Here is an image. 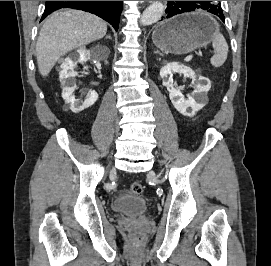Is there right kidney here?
Wrapping results in <instances>:
<instances>
[{"label": "right kidney", "instance_id": "right-kidney-1", "mask_svg": "<svg viewBox=\"0 0 271 266\" xmlns=\"http://www.w3.org/2000/svg\"><path fill=\"white\" fill-rule=\"evenodd\" d=\"M93 58L94 60H100V51L95 48L92 50H87L85 47L78 49L75 53L70 54L61 64V71L59 73V78L62 84V97L73 112L78 113L92 106L98 99V94L96 91H92L88 97L84 100L82 105L78 104L75 99L73 92L76 89L75 76L77 73L74 71L77 63L86 62Z\"/></svg>", "mask_w": 271, "mask_h": 266}]
</instances>
